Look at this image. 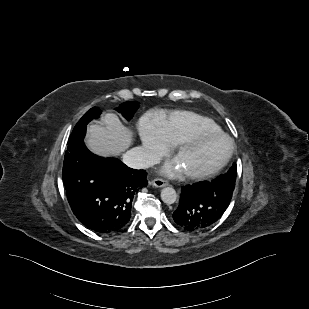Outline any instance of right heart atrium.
<instances>
[{"label":"right heart atrium","mask_w":309,"mask_h":309,"mask_svg":"<svg viewBox=\"0 0 309 309\" xmlns=\"http://www.w3.org/2000/svg\"><path fill=\"white\" fill-rule=\"evenodd\" d=\"M141 154L143 159L152 163L162 157L168 150V144L157 130L149 123H143L140 127Z\"/></svg>","instance_id":"d8ad5b80"}]
</instances>
